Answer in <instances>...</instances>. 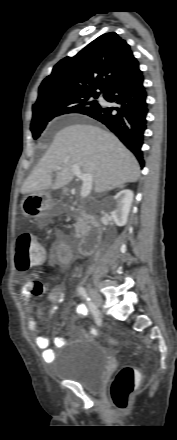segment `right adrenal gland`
<instances>
[{
  "label": "right adrenal gland",
  "instance_id": "1",
  "mask_svg": "<svg viewBox=\"0 0 177 440\" xmlns=\"http://www.w3.org/2000/svg\"><path fill=\"white\" fill-rule=\"evenodd\" d=\"M117 188L122 189L124 188V185L118 186Z\"/></svg>",
  "mask_w": 177,
  "mask_h": 440
}]
</instances>
